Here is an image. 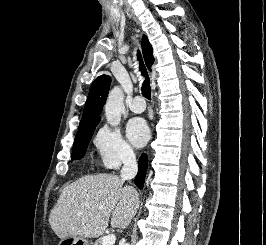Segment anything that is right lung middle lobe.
Wrapping results in <instances>:
<instances>
[{
	"label": "right lung middle lobe",
	"mask_w": 266,
	"mask_h": 245,
	"mask_svg": "<svg viewBox=\"0 0 266 245\" xmlns=\"http://www.w3.org/2000/svg\"><path fill=\"white\" fill-rule=\"evenodd\" d=\"M100 119L93 122L80 125L73 145L72 160L81 159L84 157L88 143L93 135L95 127Z\"/></svg>",
	"instance_id": "dd1d6c3e"
}]
</instances>
